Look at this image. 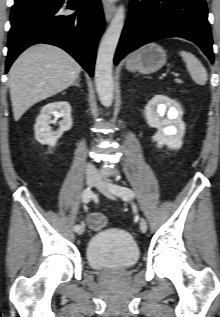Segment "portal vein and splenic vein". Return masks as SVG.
Here are the masks:
<instances>
[{
  "label": "portal vein and splenic vein",
  "mask_w": 220,
  "mask_h": 317,
  "mask_svg": "<svg viewBox=\"0 0 220 317\" xmlns=\"http://www.w3.org/2000/svg\"><path fill=\"white\" fill-rule=\"evenodd\" d=\"M175 77H179L178 73H172Z\"/></svg>",
  "instance_id": "portal-vein-and-splenic-vein-1"
}]
</instances>
